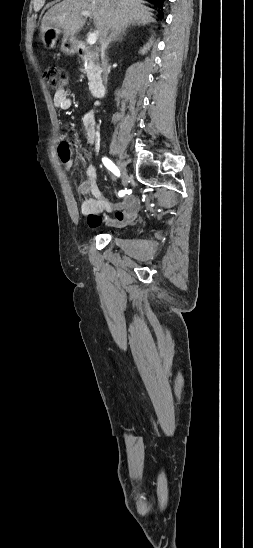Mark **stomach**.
I'll return each mask as SVG.
<instances>
[{"label":"stomach","mask_w":253,"mask_h":548,"mask_svg":"<svg viewBox=\"0 0 253 548\" xmlns=\"http://www.w3.org/2000/svg\"><path fill=\"white\" fill-rule=\"evenodd\" d=\"M63 33L56 28H50L41 35V43L47 50L53 49L56 46V42L59 36ZM76 42L74 37L67 36L63 33L61 40L60 50L66 54L72 55L76 52Z\"/></svg>","instance_id":"stomach-1"}]
</instances>
